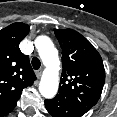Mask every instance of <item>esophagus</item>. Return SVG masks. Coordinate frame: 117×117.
<instances>
[{
    "mask_svg": "<svg viewBox=\"0 0 117 117\" xmlns=\"http://www.w3.org/2000/svg\"><path fill=\"white\" fill-rule=\"evenodd\" d=\"M36 75H37L38 78H40L41 75H42V69L37 70Z\"/></svg>",
    "mask_w": 117,
    "mask_h": 117,
    "instance_id": "obj_1",
    "label": "esophagus"
}]
</instances>
